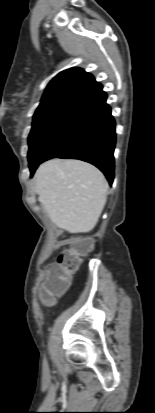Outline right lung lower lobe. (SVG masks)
<instances>
[{
    "label": "right lung lower lobe",
    "mask_w": 155,
    "mask_h": 413,
    "mask_svg": "<svg viewBox=\"0 0 155 413\" xmlns=\"http://www.w3.org/2000/svg\"><path fill=\"white\" fill-rule=\"evenodd\" d=\"M101 90L82 102L61 137L40 163L51 158H71L98 167L110 185L114 178L115 121ZM30 167L31 175L40 164Z\"/></svg>",
    "instance_id": "right-lung-lower-lobe-1"
}]
</instances>
